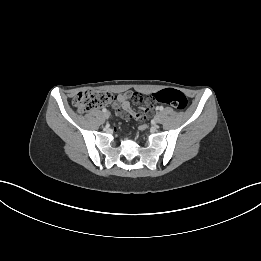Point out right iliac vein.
<instances>
[{
  "mask_svg": "<svg viewBox=\"0 0 261 261\" xmlns=\"http://www.w3.org/2000/svg\"><path fill=\"white\" fill-rule=\"evenodd\" d=\"M104 116H105L106 119H108L109 116H110V113H109V112H105V113H104Z\"/></svg>",
  "mask_w": 261,
  "mask_h": 261,
  "instance_id": "obj_1",
  "label": "right iliac vein"
}]
</instances>
